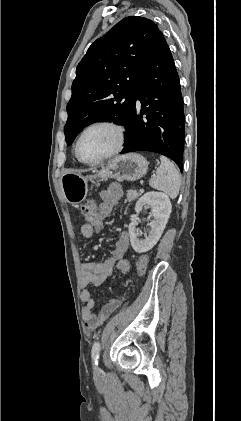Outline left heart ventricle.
I'll return each mask as SVG.
<instances>
[{"mask_svg":"<svg viewBox=\"0 0 241 421\" xmlns=\"http://www.w3.org/2000/svg\"><path fill=\"white\" fill-rule=\"evenodd\" d=\"M116 144V134L108 127H97L89 130L81 139L80 156L93 161L109 152Z\"/></svg>","mask_w":241,"mask_h":421,"instance_id":"1","label":"left heart ventricle"}]
</instances>
